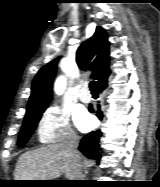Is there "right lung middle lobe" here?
<instances>
[{"mask_svg": "<svg viewBox=\"0 0 160 187\" xmlns=\"http://www.w3.org/2000/svg\"><path fill=\"white\" fill-rule=\"evenodd\" d=\"M44 110L26 113L23 126L19 135L18 145L24 146L38 124Z\"/></svg>", "mask_w": 160, "mask_h": 187, "instance_id": "1", "label": "right lung middle lobe"}]
</instances>
